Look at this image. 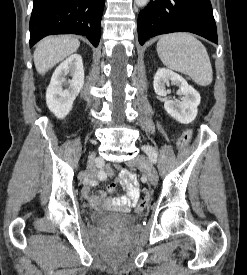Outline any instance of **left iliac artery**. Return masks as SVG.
<instances>
[{"mask_svg":"<svg viewBox=\"0 0 247 275\" xmlns=\"http://www.w3.org/2000/svg\"><path fill=\"white\" fill-rule=\"evenodd\" d=\"M142 149L149 156V159L151 160L152 163L157 162V153L154 150V148H152L151 146H148V145H144L142 147Z\"/></svg>","mask_w":247,"mask_h":275,"instance_id":"44dca946","label":"left iliac artery"}]
</instances>
